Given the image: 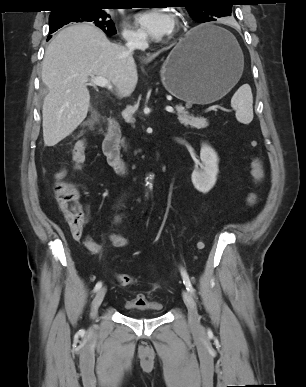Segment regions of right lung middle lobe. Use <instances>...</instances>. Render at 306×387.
Returning a JSON list of instances; mask_svg holds the SVG:
<instances>
[{
  "mask_svg": "<svg viewBox=\"0 0 306 387\" xmlns=\"http://www.w3.org/2000/svg\"><path fill=\"white\" fill-rule=\"evenodd\" d=\"M92 22L101 28L107 35L116 33L114 23L109 20V15L101 6H71L60 8L49 16L50 33L70 22Z\"/></svg>",
  "mask_w": 306,
  "mask_h": 387,
  "instance_id": "1",
  "label": "right lung middle lobe"
}]
</instances>
